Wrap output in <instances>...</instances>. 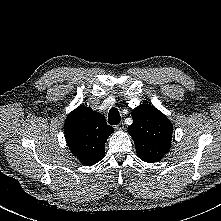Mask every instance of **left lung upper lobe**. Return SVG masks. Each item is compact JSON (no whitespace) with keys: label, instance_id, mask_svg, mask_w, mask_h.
I'll use <instances>...</instances> for the list:
<instances>
[{"label":"left lung upper lobe","instance_id":"left-lung-upper-lobe-1","mask_svg":"<svg viewBox=\"0 0 221 221\" xmlns=\"http://www.w3.org/2000/svg\"><path fill=\"white\" fill-rule=\"evenodd\" d=\"M131 115L133 123L128 127V133L134 140L139 158L148 163L158 162L171 147V122L148 104L137 106Z\"/></svg>","mask_w":221,"mask_h":221}]
</instances>
